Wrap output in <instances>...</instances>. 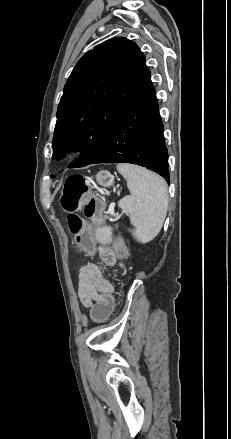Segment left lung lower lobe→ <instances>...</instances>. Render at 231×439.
Here are the masks:
<instances>
[{
    "label": "left lung lower lobe",
    "instance_id": "obj_1",
    "mask_svg": "<svg viewBox=\"0 0 231 439\" xmlns=\"http://www.w3.org/2000/svg\"><path fill=\"white\" fill-rule=\"evenodd\" d=\"M121 162L146 167L169 182L168 152L150 72L89 164Z\"/></svg>",
    "mask_w": 231,
    "mask_h": 439
}]
</instances>
